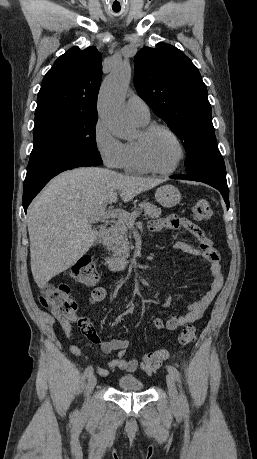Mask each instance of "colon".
Wrapping results in <instances>:
<instances>
[{"label": "colon", "mask_w": 257, "mask_h": 459, "mask_svg": "<svg viewBox=\"0 0 257 459\" xmlns=\"http://www.w3.org/2000/svg\"><path fill=\"white\" fill-rule=\"evenodd\" d=\"M197 221H208L212 217V209L207 199H199L193 209ZM70 276L77 283L92 286L98 281V274L94 262L89 258H81L70 269ZM40 303L49 308L60 320H71L76 315L77 303L70 296V287L67 284H48L41 288ZM196 338L193 326H186L180 333L178 341L181 345L191 344ZM166 350H156L148 353L142 361V368L152 373L159 369L166 360Z\"/></svg>", "instance_id": "1"}]
</instances>
